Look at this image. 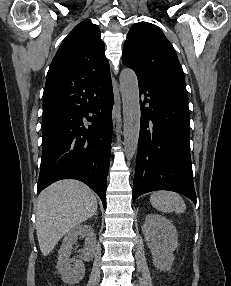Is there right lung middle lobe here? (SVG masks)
I'll return each mask as SVG.
<instances>
[{
  "label": "right lung middle lobe",
  "instance_id": "obj_1",
  "mask_svg": "<svg viewBox=\"0 0 231 286\" xmlns=\"http://www.w3.org/2000/svg\"><path fill=\"white\" fill-rule=\"evenodd\" d=\"M52 113H53L52 110H44L42 117H43V118L49 117V116L52 115Z\"/></svg>",
  "mask_w": 231,
  "mask_h": 286
}]
</instances>
